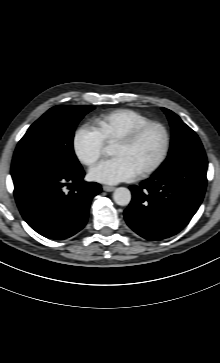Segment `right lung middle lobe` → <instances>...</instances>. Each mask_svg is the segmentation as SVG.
I'll return each mask as SVG.
<instances>
[{"label":"right lung middle lobe","mask_w":220,"mask_h":363,"mask_svg":"<svg viewBox=\"0 0 220 363\" xmlns=\"http://www.w3.org/2000/svg\"><path fill=\"white\" fill-rule=\"evenodd\" d=\"M93 109L86 105H58L33 123L15 150L13 181L38 173L72 174L81 170L73 151L74 130Z\"/></svg>","instance_id":"dd1d6c3e"}]
</instances>
